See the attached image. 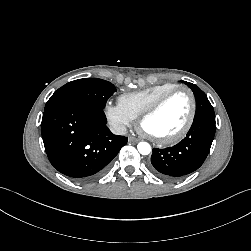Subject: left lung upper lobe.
Returning a JSON list of instances; mask_svg holds the SVG:
<instances>
[{"mask_svg": "<svg viewBox=\"0 0 251 251\" xmlns=\"http://www.w3.org/2000/svg\"><path fill=\"white\" fill-rule=\"evenodd\" d=\"M194 92L197 102L195 117L199 118L201 116H212L215 117V113L212 105L210 104L206 94L195 84L185 82Z\"/></svg>", "mask_w": 251, "mask_h": 251, "instance_id": "obj_1", "label": "left lung upper lobe"}]
</instances>
